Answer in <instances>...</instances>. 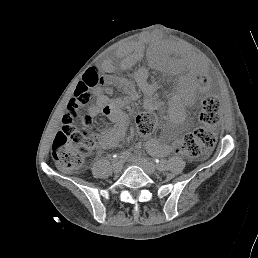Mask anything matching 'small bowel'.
Here are the masks:
<instances>
[{
  "mask_svg": "<svg viewBox=\"0 0 258 258\" xmlns=\"http://www.w3.org/2000/svg\"><path fill=\"white\" fill-rule=\"evenodd\" d=\"M140 54L141 49L139 47H135L133 49V52L129 53L122 59L121 64L123 66H131L138 59ZM110 66V64L107 65V67ZM197 72V69H192L193 75H196ZM98 114H102L108 119L114 121V124L112 126L106 127L102 131L98 149L99 151L112 149L117 146L119 140L123 137L125 133V128L122 123L116 119L113 108L109 105L107 99L102 94L98 95L96 104L89 109V116H95ZM149 146L154 151L161 150L162 148V145L155 141H150Z\"/></svg>",
  "mask_w": 258,
  "mask_h": 258,
  "instance_id": "small-bowel-1",
  "label": "small bowel"
}]
</instances>
